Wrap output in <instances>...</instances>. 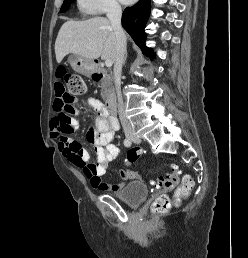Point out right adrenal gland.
<instances>
[{"label":"right adrenal gland","instance_id":"1","mask_svg":"<svg viewBox=\"0 0 248 258\" xmlns=\"http://www.w3.org/2000/svg\"><path fill=\"white\" fill-rule=\"evenodd\" d=\"M126 59H127V51H126V53H125V57H124V60H123V65H125Z\"/></svg>","mask_w":248,"mask_h":258}]
</instances>
